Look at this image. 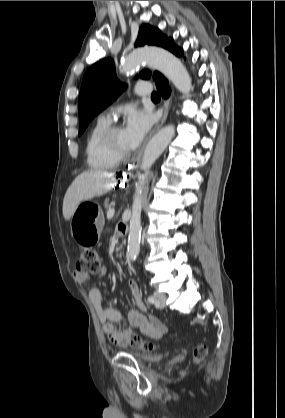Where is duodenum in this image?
<instances>
[{"instance_id":"410a0bca","label":"duodenum","mask_w":285,"mask_h":418,"mask_svg":"<svg viewBox=\"0 0 285 418\" xmlns=\"http://www.w3.org/2000/svg\"><path fill=\"white\" fill-rule=\"evenodd\" d=\"M118 232H119L120 234H125V233H126V228H125V226H124V225H119V227H118Z\"/></svg>"}]
</instances>
